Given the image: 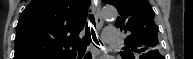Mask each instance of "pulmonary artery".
I'll return each mask as SVG.
<instances>
[{
    "mask_svg": "<svg viewBox=\"0 0 193 59\" xmlns=\"http://www.w3.org/2000/svg\"><path fill=\"white\" fill-rule=\"evenodd\" d=\"M114 28H109L104 33V41L106 43H115L117 41V36L113 33Z\"/></svg>",
    "mask_w": 193,
    "mask_h": 59,
    "instance_id": "obj_1",
    "label": "pulmonary artery"
}]
</instances>
